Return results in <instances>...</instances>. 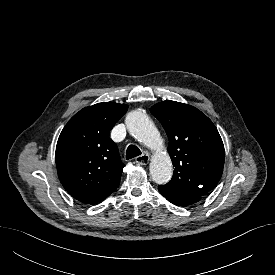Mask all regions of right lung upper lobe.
<instances>
[{
  "mask_svg": "<svg viewBox=\"0 0 275 275\" xmlns=\"http://www.w3.org/2000/svg\"><path fill=\"white\" fill-rule=\"evenodd\" d=\"M128 106L102 102L80 110L62 130L56 146V165L66 191L83 203L108 197L119 185L125 166L109 138Z\"/></svg>",
  "mask_w": 275,
  "mask_h": 275,
  "instance_id": "1",
  "label": "right lung upper lobe"
}]
</instances>
